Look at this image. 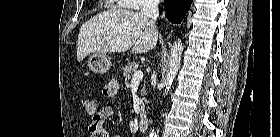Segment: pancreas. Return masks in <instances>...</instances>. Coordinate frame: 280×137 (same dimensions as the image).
Segmentation results:
<instances>
[{
    "instance_id": "pancreas-1",
    "label": "pancreas",
    "mask_w": 280,
    "mask_h": 137,
    "mask_svg": "<svg viewBox=\"0 0 280 137\" xmlns=\"http://www.w3.org/2000/svg\"><path fill=\"white\" fill-rule=\"evenodd\" d=\"M137 69H138V64L137 63H135V62L128 63L127 65L122 67L123 76L125 77L126 80H130L131 76H132V73L136 72ZM142 93H143V95L146 94V91H145L144 88L142 89ZM144 114H145V112H144V104H143L141 106L140 116L143 117Z\"/></svg>"
}]
</instances>
